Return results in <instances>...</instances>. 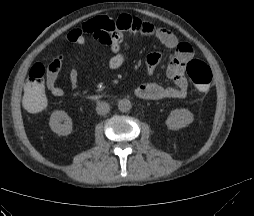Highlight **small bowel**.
<instances>
[{"label":"small bowel","instance_id":"obj_1","mask_svg":"<svg viewBox=\"0 0 254 216\" xmlns=\"http://www.w3.org/2000/svg\"><path fill=\"white\" fill-rule=\"evenodd\" d=\"M94 31H102L109 34V49L112 56L109 67L117 70L124 64V56L121 53L123 36L127 32H133L146 37L156 38L166 48L172 51L166 64V75L174 82V87H164L152 81H146L135 89V95L145 100L181 99L188 93V81L185 76V65L193 57L194 51L190 43L179 40L171 31L156 26L155 24L122 16L113 21L105 17H98L85 23L81 28L71 30L65 37L68 43L83 45L87 34ZM163 57L158 52L150 53L146 58V73L150 78L156 68L162 63ZM58 70L48 69L46 72V87L49 93L56 98L64 95V90L57 85ZM69 82L73 88L78 86V71L75 66L69 71Z\"/></svg>","mask_w":254,"mask_h":216}]
</instances>
